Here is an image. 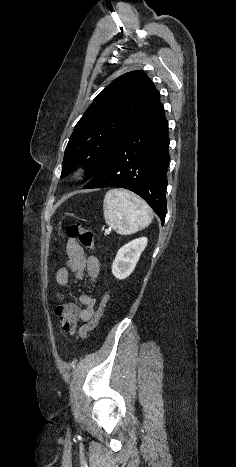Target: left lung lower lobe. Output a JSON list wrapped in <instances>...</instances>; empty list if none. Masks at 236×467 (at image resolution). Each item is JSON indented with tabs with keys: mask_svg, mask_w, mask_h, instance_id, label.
<instances>
[{
	"mask_svg": "<svg viewBox=\"0 0 236 467\" xmlns=\"http://www.w3.org/2000/svg\"><path fill=\"white\" fill-rule=\"evenodd\" d=\"M168 122L159 103L130 128L112 148L107 159L83 189L119 187L141 196L164 223Z\"/></svg>",
	"mask_w": 236,
	"mask_h": 467,
	"instance_id": "1",
	"label": "left lung lower lobe"
}]
</instances>
